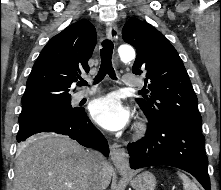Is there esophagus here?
Wrapping results in <instances>:
<instances>
[{"label": "esophagus", "mask_w": 221, "mask_h": 190, "mask_svg": "<svg viewBox=\"0 0 221 190\" xmlns=\"http://www.w3.org/2000/svg\"><path fill=\"white\" fill-rule=\"evenodd\" d=\"M106 34L110 40L116 42L118 39V29L116 25L110 24L106 29ZM110 157L113 164L119 171L121 172L128 171L129 169L128 155L125 149L121 145L113 143L110 146Z\"/></svg>", "instance_id": "1"}]
</instances>
